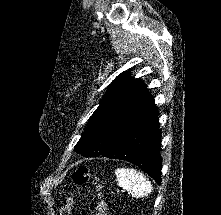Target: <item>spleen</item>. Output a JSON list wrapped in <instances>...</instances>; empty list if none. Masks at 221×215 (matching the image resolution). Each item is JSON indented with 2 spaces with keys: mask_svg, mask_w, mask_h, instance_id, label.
Segmentation results:
<instances>
[{
  "mask_svg": "<svg viewBox=\"0 0 221 215\" xmlns=\"http://www.w3.org/2000/svg\"><path fill=\"white\" fill-rule=\"evenodd\" d=\"M115 175L118 179V185L133 197H144L152 191L151 182L136 169L118 168Z\"/></svg>",
  "mask_w": 221,
  "mask_h": 215,
  "instance_id": "3e777b00",
  "label": "spleen"
}]
</instances>
